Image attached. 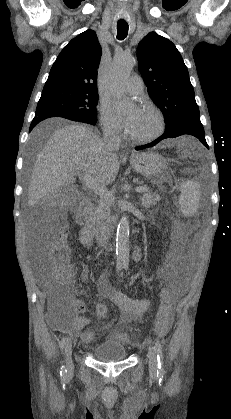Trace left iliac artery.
I'll return each mask as SVG.
<instances>
[{
    "label": "left iliac artery",
    "instance_id": "1",
    "mask_svg": "<svg viewBox=\"0 0 231 419\" xmlns=\"http://www.w3.org/2000/svg\"><path fill=\"white\" fill-rule=\"evenodd\" d=\"M155 349L157 352V361H158V370H157V374L158 376H162L164 375V357H163V352H162V345L160 344V342L158 340L155 341Z\"/></svg>",
    "mask_w": 231,
    "mask_h": 419
}]
</instances>
